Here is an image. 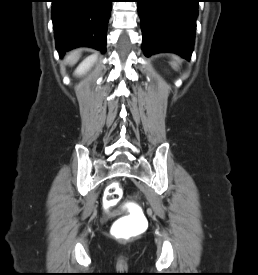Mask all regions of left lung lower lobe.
I'll return each mask as SVG.
<instances>
[{
	"label": "left lung lower lobe",
	"instance_id": "0a47b994",
	"mask_svg": "<svg viewBox=\"0 0 258 275\" xmlns=\"http://www.w3.org/2000/svg\"><path fill=\"white\" fill-rule=\"evenodd\" d=\"M199 0H138L142 49L146 56L161 52L190 59Z\"/></svg>",
	"mask_w": 258,
	"mask_h": 275
}]
</instances>
